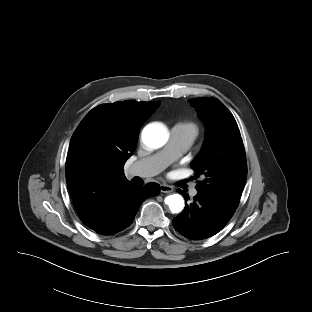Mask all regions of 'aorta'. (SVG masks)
Listing matches in <instances>:
<instances>
[{
	"label": "aorta",
	"instance_id": "obj_1",
	"mask_svg": "<svg viewBox=\"0 0 312 312\" xmlns=\"http://www.w3.org/2000/svg\"><path fill=\"white\" fill-rule=\"evenodd\" d=\"M142 140L150 148H160L168 140V131L161 125L150 124L144 128ZM165 204L172 213H179L184 208V199L179 194L169 195L165 198Z\"/></svg>",
	"mask_w": 312,
	"mask_h": 312
}]
</instances>
